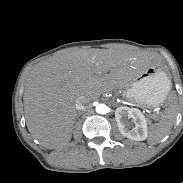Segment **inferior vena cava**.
<instances>
[{"mask_svg":"<svg viewBox=\"0 0 183 183\" xmlns=\"http://www.w3.org/2000/svg\"><path fill=\"white\" fill-rule=\"evenodd\" d=\"M89 103V100L86 99L85 97H79L75 103L76 109L77 110H84L85 109V105H87Z\"/></svg>","mask_w":183,"mask_h":183,"instance_id":"obj_1","label":"inferior vena cava"}]
</instances>
